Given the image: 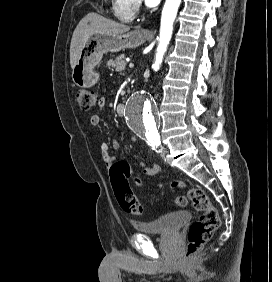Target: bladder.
I'll return each mask as SVG.
<instances>
[{"label": "bladder", "instance_id": "bladder-1", "mask_svg": "<svg viewBox=\"0 0 272 282\" xmlns=\"http://www.w3.org/2000/svg\"><path fill=\"white\" fill-rule=\"evenodd\" d=\"M190 219L188 211L182 210L162 216L152 221H132L133 227L144 234H170Z\"/></svg>", "mask_w": 272, "mask_h": 282}]
</instances>
